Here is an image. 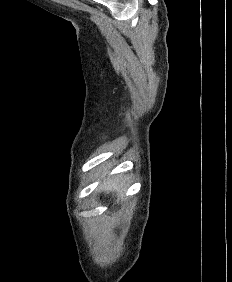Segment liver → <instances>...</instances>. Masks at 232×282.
Returning <instances> with one entry per match:
<instances>
[{
    "label": "liver",
    "instance_id": "obj_1",
    "mask_svg": "<svg viewBox=\"0 0 232 282\" xmlns=\"http://www.w3.org/2000/svg\"><path fill=\"white\" fill-rule=\"evenodd\" d=\"M100 189H104V190H117L120 191V189L117 186V181L116 180H112V181H107L105 182Z\"/></svg>",
    "mask_w": 232,
    "mask_h": 282
}]
</instances>
